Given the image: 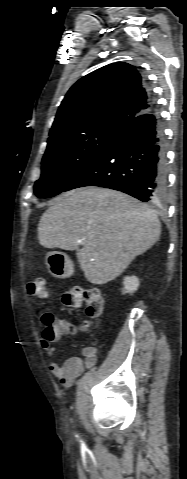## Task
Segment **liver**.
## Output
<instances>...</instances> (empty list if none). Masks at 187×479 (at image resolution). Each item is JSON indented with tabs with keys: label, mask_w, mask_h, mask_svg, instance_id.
<instances>
[{
	"label": "liver",
	"mask_w": 187,
	"mask_h": 479,
	"mask_svg": "<svg viewBox=\"0 0 187 479\" xmlns=\"http://www.w3.org/2000/svg\"><path fill=\"white\" fill-rule=\"evenodd\" d=\"M160 235L161 224L153 210L125 193L100 187L56 197L38 225L40 244L75 250L86 279L97 285L118 277Z\"/></svg>",
	"instance_id": "liver-1"
}]
</instances>
